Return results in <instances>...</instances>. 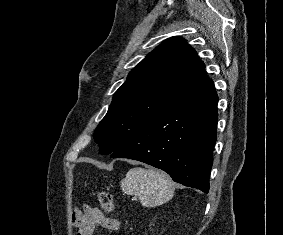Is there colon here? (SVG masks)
<instances>
[{
	"label": "colon",
	"mask_w": 283,
	"mask_h": 235,
	"mask_svg": "<svg viewBox=\"0 0 283 235\" xmlns=\"http://www.w3.org/2000/svg\"><path fill=\"white\" fill-rule=\"evenodd\" d=\"M94 194L97 196V199L100 203V206L107 213H111L114 210V201L113 197L109 192L106 191H95Z\"/></svg>",
	"instance_id": "1"
}]
</instances>
